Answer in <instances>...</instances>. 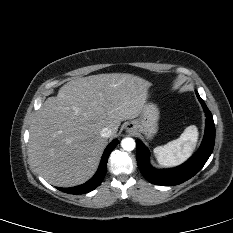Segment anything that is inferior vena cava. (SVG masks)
<instances>
[{
  "instance_id": "obj_1",
  "label": "inferior vena cava",
  "mask_w": 233,
  "mask_h": 233,
  "mask_svg": "<svg viewBox=\"0 0 233 233\" xmlns=\"http://www.w3.org/2000/svg\"><path fill=\"white\" fill-rule=\"evenodd\" d=\"M101 136L104 138H109L112 136V130L110 128H103L101 131Z\"/></svg>"
}]
</instances>
